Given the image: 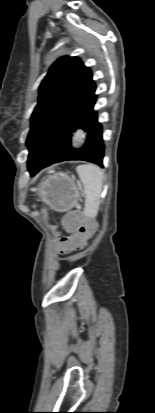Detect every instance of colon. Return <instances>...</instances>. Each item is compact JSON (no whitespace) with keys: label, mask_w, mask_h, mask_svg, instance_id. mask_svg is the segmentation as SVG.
I'll return each mask as SVG.
<instances>
[{"label":"colon","mask_w":155,"mask_h":413,"mask_svg":"<svg viewBox=\"0 0 155 413\" xmlns=\"http://www.w3.org/2000/svg\"><path fill=\"white\" fill-rule=\"evenodd\" d=\"M65 224L70 229H76V236L69 235L67 239H56V248H68L73 252H80L87 245L86 238L89 237L95 227L92 221H81L78 215H69L65 218Z\"/></svg>","instance_id":"obj_1"}]
</instances>
